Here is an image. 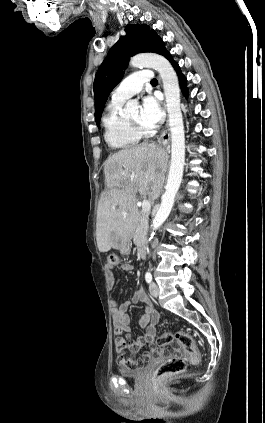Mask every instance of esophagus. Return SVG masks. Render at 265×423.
I'll return each instance as SVG.
<instances>
[{"instance_id":"esophagus-1","label":"esophagus","mask_w":265,"mask_h":423,"mask_svg":"<svg viewBox=\"0 0 265 423\" xmlns=\"http://www.w3.org/2000/svg\"><path fill=\"white\" fill-rule=\"evenodd\" d=\"M169 141H170V130H169V123L167 121L166 128L164 129V131L161 133L160 137L158 138V142L163 145H167Z\"/></svg>"}]
</instances>
